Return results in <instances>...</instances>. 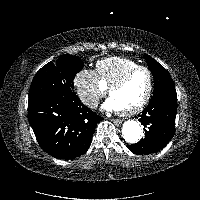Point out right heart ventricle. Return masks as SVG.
<instances>
[{
  "label": "right heart ventricle",
  "instance_id": "obj_1",
  "mask_svg": "<svg viewBox=\"0 0 200 200\" xmlns=\"http://www.w3.org/2000/svg\"><path fill=\"white\" fill-rule=\"evenodd\" d=\"M137 66L139 64L130 58L112 56L99 60L95 72L99 81L104 86L109 87L126 72Z\"/></svg>",
  "mask_w": 200,
  "mask_h": 200
}]
</instances>
